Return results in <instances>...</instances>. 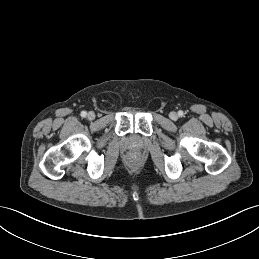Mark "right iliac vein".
I'll return each instance as SVG.
<instances>
[{
	"label": "right iliac vein",
	"instance_id": "63e3f726",
	"mask_svg": "<svg viewBox=\"0 0 259 259\" xmlns=\"http://www.w3.org/2000/svg\"><path fill=\"white\" fill-rule=\"evenodd\" d=\"M89 120H93L95 118V113L93 111H90L87 115Z\"/></svg>",
	"mask_w": 259,
	"mask_h": 259
}]
</instances>
